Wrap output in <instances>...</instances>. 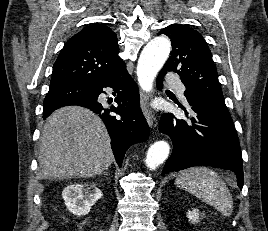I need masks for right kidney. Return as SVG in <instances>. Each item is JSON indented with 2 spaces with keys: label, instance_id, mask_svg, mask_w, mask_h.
Listing matches in <instances>:
<instances>
[{
  "label": "right kidney",
  "instance_id": "1",
  "mask_svg": "<svg viewBox=\"0 0 268 231\" xmlns=\"http://www.w3.org/2000/svg\"><path fill=\"white\" fill-rule=\"evenodd\" d=\"M62 197L71 213L83 216L102 197V192L93 183L71 184L63 190Z\"/></svg>",
  "mask_w": 268,
  "mask_h": 231
}]
</instances>
